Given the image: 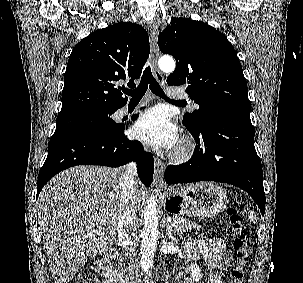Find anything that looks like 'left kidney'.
<instances>
[{
	"label": "left kidney",
	"instance_id": "obj_1",
	"mask_svg": "<svg viewBox=\"0 0 303 283\" xmlns=\"http://www.w3.org/2000/svg\"><path fill=\"white\" fill-rule=\"evenodd\" d=\"M188 269L191 271V278L195 280V282H199V280L202 278L200 267L196 263H192Z\"/></svg>",
	"mask_w": 303,
	"mask_h": 283
}]
</instances>
